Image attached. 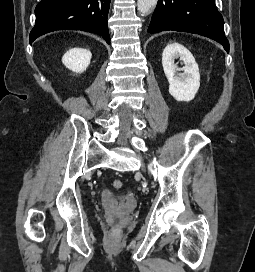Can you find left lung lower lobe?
I'll return each mask as SVG.
<instances>
[{
  "instance_id": "left-lung-lower-lobe-1",
  "label": "left lung lower lobe",
  "mask_w": 255,
  "mask_h": 272,
  "mask_svg": "<svg viewBox=\"0 0 255 272\" xmlns=\"http://www.w3.org/2000/svg\"><path fill=\"white\" fill-rule=\"evenodd\" d=\"M223 25L214 0H158L148 32L173 30L200 34L219 42L229 52Z\"/></svg>"
}]
</instances>
